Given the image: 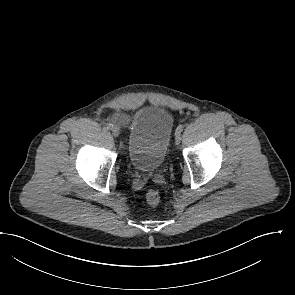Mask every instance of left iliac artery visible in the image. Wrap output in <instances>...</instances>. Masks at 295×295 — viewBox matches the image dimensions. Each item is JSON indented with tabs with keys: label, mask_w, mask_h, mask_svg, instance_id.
<instances>
[{
	"label": "left iliac artery",
	"mask_w": 295,
	"mask_h": 295,
	"mask_svg": "<svg viewBox=\"0 0 295 295\" xmlns=\"http://www.w3.org/2000/svg\"><path fill=\"white\" fill-rule=\"evenodd\" d=\"M183 129H184V125L181 124L177 127L176 132L181 133L183 131Z\"/></svg>",
	"instance_id": "44dca946"
}]
</instances>
